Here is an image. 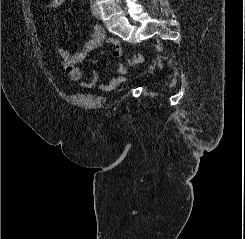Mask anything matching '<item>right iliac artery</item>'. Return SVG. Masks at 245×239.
Listing matches in <instances>:
<instances>
[{
	"instance_id": "right-iliac-artery-1",
	"label": "right iliac artery",
	"mask_w": 245,
	"mask_h": 239,
	"mask_svg": "<svg viewBox=\"0 0 245 239\" xmlns=\"http://www.w3.org/2000/svg\"><path fill=\"white\" fill-rule=\"evenodd\" d=\"M90 8H91L92 14L96 17L95 5L92 2H90Z\"/></svg>"
}]
</instances>
